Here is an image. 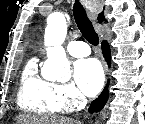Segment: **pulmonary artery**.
<instances>
[{
    "mask_svg": "<svg viewBox=\"0 0 145 124\" xmlns=\"http://www.w3.org/2000/svg\"><path fill=\"white\" fill-rule=\"evenodd\" d=\"M67 51L74 57H84L91 52L89 46L82 41H72L68 43Z\"/></svg>",
    "mask_w": 145,
    "mask_h": 124,
    "instance_id": "obj_1",
    "label": "pulmonary artery"
}]
</instances>
